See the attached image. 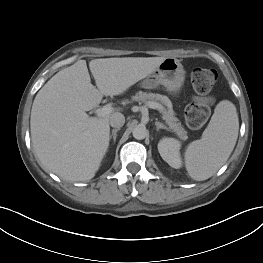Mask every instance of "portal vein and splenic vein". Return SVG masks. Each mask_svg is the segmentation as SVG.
Listing matches in <instances>:
<instances>
[{
    "mask_svg": "<svg viewBox=\"0 0 263 263\" xmlns=\"http://www.w3.org/2000/svg\"><path fill=\"white\" fill-rule=\"evenodd\" d=\"M147 106L151 109H156V110H161L162 106L159 103H155V102H148ZM113 111V107L109 104L103 106L102 108H99L96 110V115L97 117H104L106 115H109L110 113H112Z\"/></svg>",
    "mask_w": 263,
    "mask_h": 263,
    "instance_id": "18ae733b",
    "label": "portal vein and splenic vein"
}]
</instances>
